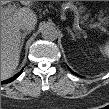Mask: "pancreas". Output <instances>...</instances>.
<instances>
[{
  "instance_id": "obj_1",
  "label": "pancreas",
  "mask_w": 109,
  "mask_h": 109,
  "mask_svg": "<svg viewBox=\"0 0 109 109\" xmlns=\"http://www.w3.org/2000/svg\"><path fill=\"white\" fill-rule=\"evenodd\" d=\"M62 6H63V7H68V8H70V9L74 12L75 17H76V18H75L76 20H79V19H80V14L82 13V8H83V7L77 8V7H76L75 5H73L72 3H63ZM87 18H88V15L84 16V17L82 18L81 22H84L85 20H87ZM99 20H100V23H99V24H95V25L98 26V27H100V28H102V29H105L104 26H107V24H108L107 19H105V18H99Z\"/></svg>"
}]
</instances>
